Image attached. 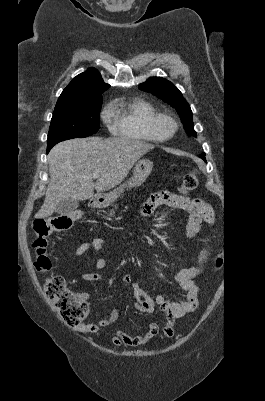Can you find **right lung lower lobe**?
<instances>
[{"label": "right lung lower lobe", "instance_id": "right-lung-lower-lobe-1", "mask_svg": "<svg viewBox=\"0 0 265 401\" xmlns=\"http://www.w3.org/2000/svg\"><path fill=\"white\" fill-rule=\"evenodd\" d=\"M52 147H47V153L49 152V150L51 149Z\"/></svg>", "mask_w": 265, "mask_h": 401}]
</instances>
